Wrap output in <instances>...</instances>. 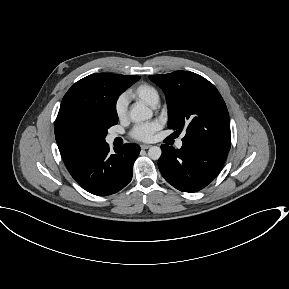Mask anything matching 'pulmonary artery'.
<instances>
[{
    "mask_svg": "<svg viewBox=\"0 0 289 289\" xmlns=\"http://www.w3.org/2000/svg\"><path fill=\"white\" fill-rule=\"evenodd\" d=\"M117 137V134H110L108 137L109 141H113ZM177 148H181L183 146L182 138H180L176 143Z\"/></svg>",
    "mask_w": 289,
    "mask_h": 289,
    "instance_id": "pulmonary-artery-1",
    "label": "pulmonary artery"
}]
</instances>
